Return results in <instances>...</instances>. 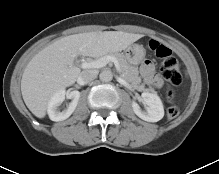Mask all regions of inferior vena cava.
I'll use <instances>...</instances> for the list:
<instances>
[{
  "label": "inferior vena cava",
  "mask_w": 219,
  "mask_h": 174,
  "mask_svg": "<svg viewBox=\"0 0 219 174\" xmlns=\"http://www.w3.org/2000/svg\"><path fill=\"white\" fill-rule=\"evenodd\" d=\"M97 77L96 70H84L78 77V80L81 83H89L90 81L94 80Z\"/></svg>",
  "instance_id": "1"
}]
</instances>
